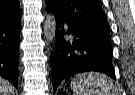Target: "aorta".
I'll return each mask as SVG.
<instances>
[{
    "mask_svg": "<svg viewBox=\"0 0 135 95\" xmlns=\"http://www.w3.org/2000/svg\"><path fill=\"white\" fill-rule=\"evenodd\" d=\"M44 36L49 43L55 40L56 19L53 14H50L46 17V20L44 22Z\"/></svg>",
    "mask_w": 135,
    "mask_h": 95,
    "instance_id": "obj_1",
    "label": "aorta"
}]
</instances>
